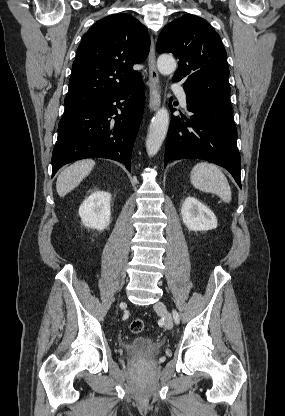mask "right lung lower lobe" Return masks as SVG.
Wrapping results in <instances>:
<instances>
[{"label":"right lung lower lobe","instance_id":"obj_1","mask_svg":"<svg viewBox=\"0 0 285 416\" xmlns=\"http://www.w3.org/2000/svg\"><path fill=\"white\" fill-rule=\"evenodd\" d=\"M143 106V82L140 80L108 100L65 109L52 154V177L63 165L84 158L116 160L131 171V154ZM119 109L121 114H118ZM114 114L115 123L110 119Z\"/></svg>","mask_w":285,"mask_h":416}]
</instances>
